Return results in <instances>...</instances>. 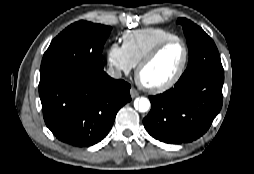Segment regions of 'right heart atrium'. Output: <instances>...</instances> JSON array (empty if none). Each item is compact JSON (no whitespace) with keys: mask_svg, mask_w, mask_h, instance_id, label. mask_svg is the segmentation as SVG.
Returning a JSON list of instances; mask_svg holds the SVG:
<instances>
[{"mask_svg":"<svg viewBox=\"0 0 254 174\" xmlns=\"http://www.w3.org/2000/svg\"><path fill=\"white\" fill-rule=\"evenodd\" d=\"M107 63L114 75L128 74L134 65L128 58L124 48L117 42L111 43L106 51Z\"/></svg>","mask_w":254,"mask_h":174,"instance_id":"obj_1","label":"right heart atrium"}]
</instances>
